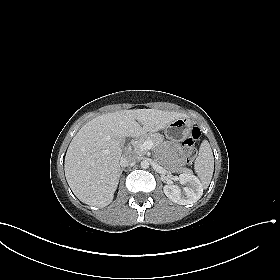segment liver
Instances as JSON below:
<instances>
[{"label":"liver","instance_id":"obj_1","mask_svg":"<svg viewBox=\"0 0 280 280\" xmlns=\"http://www.w3.org/2000/svg\"><path fill=\"white\" fill-rule=\"evenodd\" d=\"M184 113L132 109L106 113L90 120L72 139L65 156L66 180L83 203L103 208L114 197L121 175L119 139L164 129Z\"/></svg>","mask_w":280,"mask_h":280}]
</instances>
